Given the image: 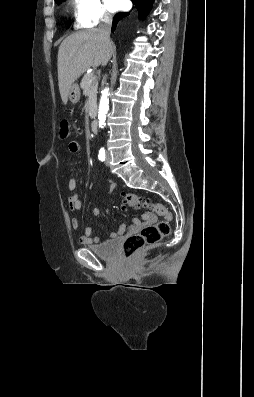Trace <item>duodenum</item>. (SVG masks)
Listing matches in <instances>:
<instances>
[{
    "label": "duodenum",
    "mask_w": 254,
    "mask_h": 397,
    "mask_svg": "<svg viewBox=\"0 0 254 397\" xmlns=\"http://www.w3.org/2000/svg\"><path fill=\"white\" fill-rule=\"evenodd\" d=\"M90 128H91V131L93 133H97L98 132V122H97L96 119L92 120V122L90 124Z\"/></svg>",
    "instance_id": "1"
}]
</instances>
